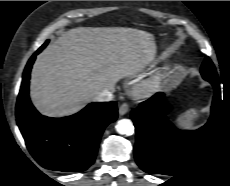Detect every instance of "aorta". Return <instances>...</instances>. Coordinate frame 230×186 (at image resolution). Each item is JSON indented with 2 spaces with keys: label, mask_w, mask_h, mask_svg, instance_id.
<instances>
[{
  "label": "aorta",
  "mask_w": 230,
  "mask_h": 186,
  "mask_svg": "<svg viewBox=\"0 0 230 186\" xmlns=\"http://www.w3.org/2000/svg\"><path fill=\"white\" fill-rule=\"evenodd\" d=\"M116 131L121 135L130 136L134 133L133 123L129 119H121L116 124Z\"/></svg>",
  "instance_id": "762f6f07"
}]
</instances>
